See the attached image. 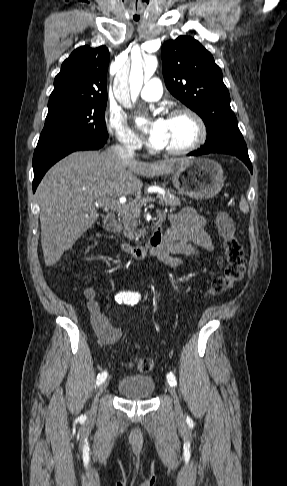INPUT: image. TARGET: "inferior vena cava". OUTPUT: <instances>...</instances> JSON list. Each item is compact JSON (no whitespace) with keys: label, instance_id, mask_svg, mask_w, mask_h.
<instances>
[{"label":"inferior vena cava","instance_id":"1","mask_svg":"<svg viewBox=\"0 0 287 486\" xmlns=\"http://www.w3.org/2000/svg\"><path fill=\"white\" fill-rule=\"evenodd\" d=\"M135 149L136 147L133 146L132 140H127L123 144H117L110 148L113 153L125 160L133 158Z\"/></svg>","mask_w":287,"mask_h":486}]
</instances>
